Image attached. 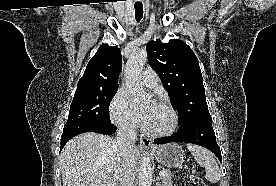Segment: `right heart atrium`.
I'll list each match as a JSON object with an SVG mask.
<instances>
[{"label": "right heart atrium", "mask_w": 276, "mask_h": 186, "mask_svg": "<svg viewBox=\"0 0 276 186\" xmlns=\"http://www.w3.org/2000/svg\"><path fill=\"white\" fill-rule=\"evenodd\" d=\"M109 114L111 121L127 132H135L138 128L132 104L128 93L120 88L110 102Z\"/></svg>", "instance_id": "right-heart-atrium-1"}]
</instances>
